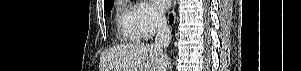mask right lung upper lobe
Listing matches in <instances>:
<instances>
[{"mask_svg": "<svg viewBox=\"0 0 301 71\" xmlns=\"http://www.w3.org/2000/svg\"><path fill=\"white\" fill-rule=\"evenodd\" d=\"M113 0H105V5L112 2Z\"/></svg>", "mask_w": 301, "mask_h": 71, "instance_id": "1", "label": "right lung upper lobe"}]
</instances>
